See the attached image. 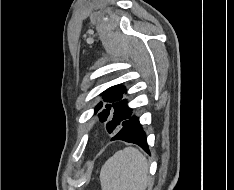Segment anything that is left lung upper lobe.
<instances>
[{"mask_svg":"<svg viewBox=\"0 0 234 190\" xmlns=\"http://www.w3.org/2000/svg\"><path fill=\"white\" fill-rule=\"evenodd\" d=\"M104 93L103 102L95 107L94 113L96 114L103 108V111L99 113L100 121H107L106 128L109 133H116L132 114V109L127 106V101L123 99V94L127 91L124 86L117 85L110 87Z\"/></svg>","mask_w":234,"mask_h":190,"instance_id":"obj_1","label":"left lung upper lobe"}]
</instances>
